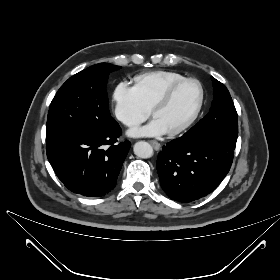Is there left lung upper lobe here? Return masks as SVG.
Here are the masks:
<instances>
[{
    "mask_svg": "<svg viewBox=\"0 0 280 280\" xmlns=\"http://www.w3.org/2000/svg\"><path fill=\"white\" fill-rule=\"evenodd\" d=\"M214 100L209 113L188 130L185 136H205L236 146L238 137V116L224 84L211 76Z\"/></svg>",
    "mask_w": 280,
    "mask_h": 280,
    "instance_id": "1",
    "label": "left lung upper lobe"
}]
</instances>
